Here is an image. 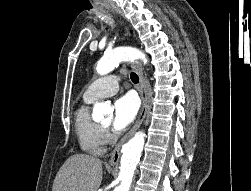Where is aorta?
I'll list each match as a JSON object with an SVG mask.
<instances>
[{"label": "aorta", "instance_id": "1", "mask_svg": "<svg viewBox=\"0 0 251 191\" xmlns=\"http://www.w3.org/2000/svg\"><path fill=\"white\" fill-rule=\"evenodd\" d=\"M132 60H143L144 64H147L145 54L137 48H115V50L105 52L103 58L97 64L96 72L100 76H105V74H110L120 62H132ZM112 111L111 105H107V103H94L93 117L95 121H99L103 115L112 113ZM144 137V131H136L134 137L129 139L122 147L119 171L121 183L118 185V191H129L130 189L136 165L144 147Z\"/></svg>", "mask_w": 251, "mask_h": 191}]
</instances>
